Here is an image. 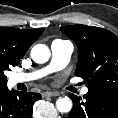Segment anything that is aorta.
<instances>
[{
	"instance_id": "obj_1",
	"label": "aorta",
	"mask_w": 118,
	"mask_h": 118,
	"mask_svg": "<svg viewBox=\"0 0 118 118\" xmlns=\"http://www.w3.org/2000/svg\"><path fill=\"white\" fill-rule=\"evenodd\" d=\"M50 49L45 44H36L31 50V58L34 62L43 64L50 58ZM73 106L72 100L69 97L58 98L56 108L61 113H68Z\"/></svg>"
}]
</instances>
